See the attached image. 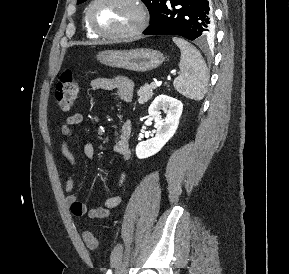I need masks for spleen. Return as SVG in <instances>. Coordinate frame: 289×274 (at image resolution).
I'll list each match as a JSON object with an SVG mask.
<instances>
[{"label":"spleen","instance_id":"obj_1","mask_svg":"<svg viewBox=\"0 0 289 274\" xmlns=\"http://www.w3.org/2000/svg\"><path fill=\"white\" fill-rule=\"evenodd\" d=\"M174 43L181 51L179 63L180 75L175 78V89L187 98L203 99L208 83V71L200 52L188 41L173 37Z\"/></svg>","mask_w":289,"mask_h":274}]
</instances>
